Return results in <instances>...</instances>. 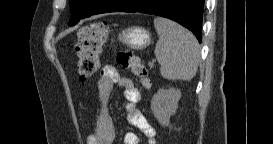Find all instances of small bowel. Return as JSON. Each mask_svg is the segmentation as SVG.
<instances>
[{
    "label": "small bowel",
    "instance_id": "c3829d8e",
    "mask_svg": "<svg viewBox=\"0 0 273 144\" xmlns=\"http://www.w3.org/2000/svg\"><path fill=\"white\" fill-rule=\"evenodd\" d=\"M118 86L123 90L126 99L125 111L127 121L130 125L140 130L148 139L149 144H155V129L151 126L142 114L137 103L140 100V92L135 87L133 81L119 73L112 65L105 66L98 78L97 89L103 107L97 119L96 130L88 137V144H113L115 139V128L113 121L108 114L106 104L111 90ZM139 137L134 132H127L124 136V144H138Z\"/></svg>",
    "mask_w": 273,
    "mask_h": 144
}]
</instances>
